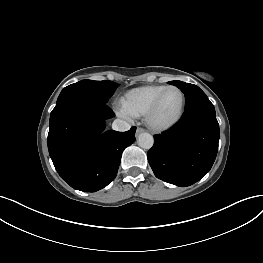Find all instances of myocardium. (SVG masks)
<instances>
[{
    "label": "myocardium",
    "mask_w": 263,
    "mask_h": 263,
    "mask_svg": "<svg viewBox=\"0 0 263 263\" xmlns=\"http://www.w3.org/2000/svg\"><path fill=\"white\" fill-rule=\"evenodd\" d=\"M177 90L181 94L182 97V103H181V108L179 113L174 117L172 120L166 123H157L154 120V116L156 114V111L164 97V95L169 91V90ZM185 107H186V96L183 90L177 86L170 85L167 86L161 93L158 94V96L154 99L152 102L151 106L149 107L147 113L145 114V123L149 128H151L154 131H165L176 125L183 117L184 112H185Z\"/></svg>",
    "instance_id": "myocardium-1"
}]
</instances>
